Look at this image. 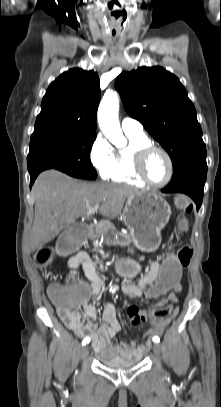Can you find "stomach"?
I'll return each mask as SVG.
<instances>
[{"instance_id":"1","label":"stomach","mask_w":221,"mask_h":407,"mask_svg":"<svg viewBox=\"0 0 221 407\" xmlns=\"http://www.w3.org/2000/svg\"><path fill=\"white\" fill-rule=\"evenodd\" d=\"M171 215L167 201L153 192H139L127 198L122 218L130 230L134 245L141 251H155L161 243V230ZM122 271L132 275L138 266L131 260L120 262Z\"/></svg>"}]
</instances>
